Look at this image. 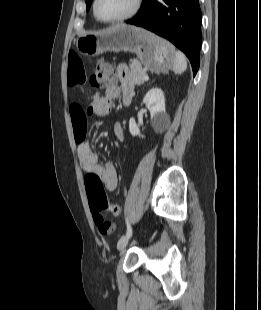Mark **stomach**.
Instances as JSON below:
<instances>
[{
	"mask_svg": "<svg viewBox=\"0 0 261 310\" xmlns=\"http://www.w3.org/2000/svg\"><path fill=\"white\" fill-rule=\"evenodd\" d=\"M76 47L86 56L106 51L132 52L147 70L154 73L168 72L175 60V49L169 42L142 28L125 24L112 25L102 31L79 37Z\"/></svg>",
	"mask_w": 261,
	"mask_h": 310,
	"instance_id": "obj_1",
	"label": "stomach"
}]
</instances>
